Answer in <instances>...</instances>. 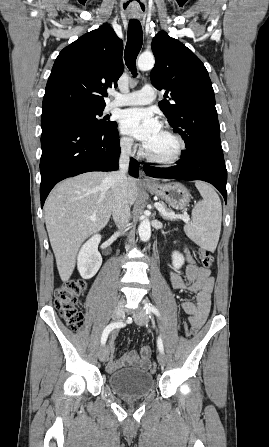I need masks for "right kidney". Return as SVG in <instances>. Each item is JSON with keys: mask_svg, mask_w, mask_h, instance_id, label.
<instances>
[{"mask_svg": "<svg viewBox=\"0 0 269 447\" xmlns=\"http://www.w3.org/2000/svg\"><path fill=\"white\" fill-rule=\"evenodd\" d=\"M101 241V235L95 233L84 245H82L78 253L77 267L83 279H90L97 273L101 263V253L98 251V245Z\"/></svg>", "mask_w": 269, "mask_h": 447, "instance_id": "1", "label": "right kidney"}]
</instances>
